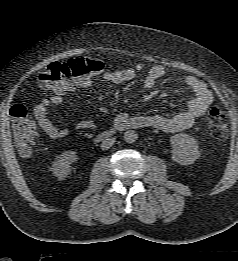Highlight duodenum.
I'll return each instance as SVG.
<instances>
[{
	"label": "duodenum",
	"mask_w": 238,
	"mask_h": 261,
	"mask_svg": "<svg viewBox=\"0 0 238 261\" xmlns=\"http://www.w3.org/2000/svg\"><path fill=\"white\" fill-rule=\"evenodd\" d=\"M115 129H116V130H120V129L117 128V127H115ZM112 134H113V129L106 130V131H104V132L98 134L97 137H96V140L102 141V140H104V139H107V138L111 137Z\"/></svg>",
	"instance_id": "1"
}]
</instances>
